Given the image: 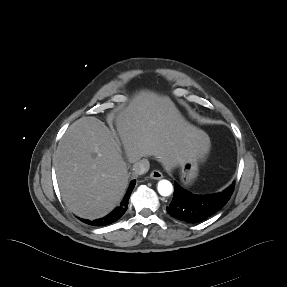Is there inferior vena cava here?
Returning <instances> with one entry per match:
<instances>
[{"label": "inferior vena cava", "instance_id": "inferior-vena-cava-1", "mask_svg": "<svg viewBox=\"0 0 287 287\" xmlns=\"http://www.w3.org/2000/svg\"><path fill=\"white\" fill-rule=\"evenodd\" d=\"M150 168L149 161L147 159H142L133 165V171L136 175H142L148 172Z\"/></svg>", "mask_w": 287, "mask_h": 287}]
</instances>
